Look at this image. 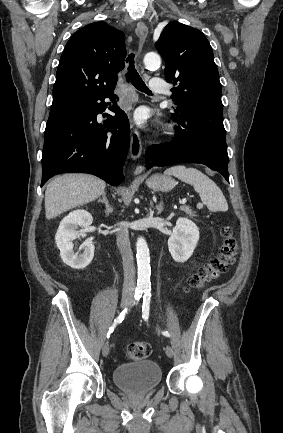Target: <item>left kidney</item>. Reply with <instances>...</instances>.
<instances>
[{
  "label": "left kidney",
  "mask_w": 283,
  "mask_h": 433,
  "mask_svg": "<svg viewBox=\"0 0 283 433\" xmlns=\"http://www.w3.org/2000/svg\"><path fill=\"white\" fill-rule=\"evenodd\" d=\"M199 235V229L194 222L187 218H178L168 240L172 258L179 263L186 262L197 246Z\"/></svg>",
  "instance_id": "obj_1"
}]
</instances>
